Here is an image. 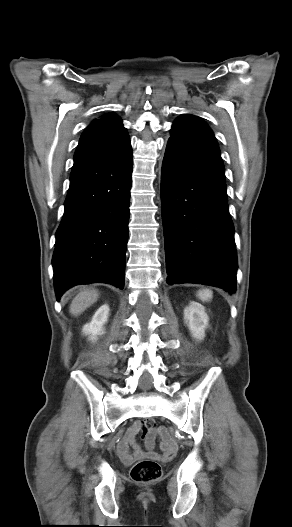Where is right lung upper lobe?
I'll use <instances>...</instances> for the list:
<instances>
[{"label":"right lung upper lobe","mask_w":292,"mask_h":527,"mask_svg":"<svg viewBox=\"0 0 292 527\" xmlns=\"http://www.w3.org/2000/svg\"><path fill=\"white\" fill-rule=\"evenodd\" d=\"M130 145V139L121 119L109 113L94 120L83 132L75 155L102 154Z\"/></svg>","instance_id":"cb5924a9"}]
</instances>
